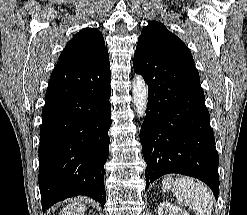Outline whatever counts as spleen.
I'll list each match as a JSON object with an SVG mask.
<instances>
[{
    "label": "spleen",
    "mask_w": 247,
    "mask_h": 215,
    "mask_svg": "<svg viewBox=\"0 0 247 215\" xmlns=\"http://www.w3.org/2000/svg\"><path fill=\"white\" fill-rule=\"evenodd\" d=\"M172 192L180 205L189 206L196 215H211L213 196L202 182L186 177L178 178L172 181Z\"/></svg>",
    "instance_id": "1"
}]
</instances>
